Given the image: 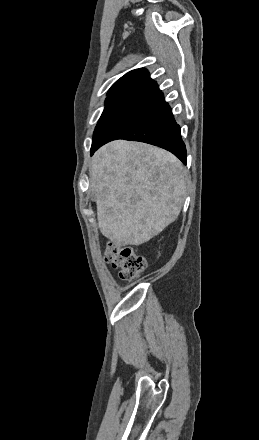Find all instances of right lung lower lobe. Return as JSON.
Instances as JSON below:
<instances>
[{"label": "right lung lower lobe", "mask_w": 259, "mask_h": 440, "mask_svg": "<svg viewBox=\"0 0 259 440\" xmlns=\"http://www.w3.org/2000/svg\"><path fill=\"white\" fill-rule=\"evenodd\" d=\"M115 139L159 146L169 150L186 164V148L181 138L180 126L158 85L147 92L140 103L104 138L92 142L91 155L100 146Z\"/></svg>", "instance_id": "1"}]
</instances>
